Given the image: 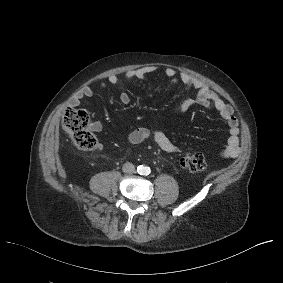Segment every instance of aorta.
Listing matches in <instances>:
<instances>
[{"instance_id":"762f6f07","label":"aorta","mask_w":283,"mask_h":283,"mask_svg":"<svg viewBox=\"0 0 283 283\" xmlns=\"http://www.w3.org/2000/svg\"><path fill=\"white\" fill-rule=\"evenodd\" d=\"M138 173L141 175H148L150 172V168L147 166L140 165L137 169Z\"/></svg>"}]
</instances>
